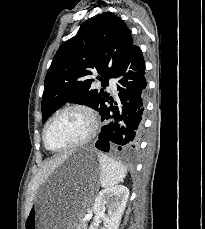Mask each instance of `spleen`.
<instances>
[{"mask_svg": "<svg viewBox=\"0 0 205 229\" xmlns=\"http://www.w3.org/2000/svg\"><path fill=\"white\" fill-rule=\"evenodd\" d=\"M101 166L100 184L102 187H110L122 182L126 176V168L119 162L105 154H98Z\"/></svg>", "mask_w": 205, "mask_h": 229, "instance_id": "spleen-1", "label": "spleen"}]
</instances>
